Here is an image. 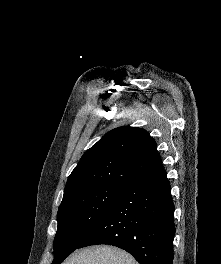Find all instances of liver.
Here are the masks:
<instances>
[{
  "instance_id": "1",
  "label": "liver",
  "mask_w": 221,
  "mask_h": 264,
  "mask_svg": "<svg viewBox=\"0 0 221 264\" xmlns=\"http://www.w3.org/2000/svg\"><path fill=\"white\" fill-rule=\"evenodd\" d=\"M62 264H138L127 252L111 246H95L75 252Z\"/></svg>"
}]
</instances>
